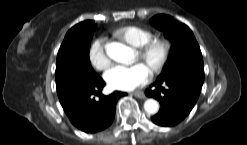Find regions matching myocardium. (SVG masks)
<instances>
[{
  "mask_svg": "<svg viewBox=\"0 0 247 145\" xmlns=\"http://www.w3.org/2000/svg\"><path fill=\"white\" fill-rule=\"evenodd\" d=\"M155 49L160 51V58L150 67V70L152 73L158 74L166 66L171 54V44L168 40L164 38H151L137 48V55L141 58L147 57Z\"/></svg>",
  "mask_w": 247,
  "mask_h": 145,
  "instance_id": "myocardium-1",
  "label": "myocardium"
}]
</instances>
